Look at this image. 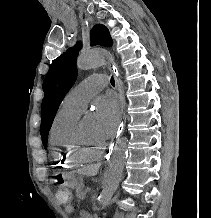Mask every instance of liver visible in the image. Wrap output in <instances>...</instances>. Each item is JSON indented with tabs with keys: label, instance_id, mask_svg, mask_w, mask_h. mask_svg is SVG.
<instances>
[{
	"label": "liver",
	"instance_id": "1",
	"mask_svg": "<svg viewBox=\"0 0 211 218\" xmlns=\"http://www.w3.org/2000/svg\"><path fill=\"white\" fill-rule=\"evenodd\" d=\"M100 164H96V166H89V168H86V172L88 176H96L98 170H99Z\"/></svg>",
	"mask_w": 211,
	"mask_h": 218
}]
</instances>
